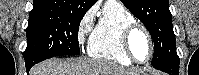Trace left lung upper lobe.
<instances>
[{
	"mask_svg": "<svg viewBox=\"0 0 199 75\" xmlns=\"http://www.w3.org/2000/svg\"><path fill=\"white\" fill-rule=\"evenodd\" d=\"M148 29L154 41L152 66L173 61L177 57L172 15L168 0H121Z\"/></svg>",
	"mask_w": 199,
	"mask_h": 75,
	"instance_id": "1",
	"label": "left lung upper lobe"
}]
</instances>
